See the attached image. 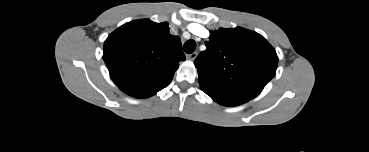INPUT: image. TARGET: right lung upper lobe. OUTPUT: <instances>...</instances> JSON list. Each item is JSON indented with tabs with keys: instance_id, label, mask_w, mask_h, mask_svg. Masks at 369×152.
I'll return each mask as SVG.
<instances>
[{
	"instance_id": "right-lung-upper-lobe-1",
	"label": "right lung upper lobe",
	"mask_w": 369,
	"mask_h": 152,
	"mask_svg": "<svg viewBox=\"0 0 369 152\" xmlns=\"http://www.w3.org/2000/svg\"><path fill=\"white\" fill-rule=\"evenodd\" d=\"M103 59L120 90L148 98L171 83L185 55L180 38L169 33L168 23L144 19L112 32L104 42Z\"/></svg>"
}]
</instances>
